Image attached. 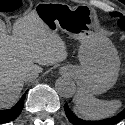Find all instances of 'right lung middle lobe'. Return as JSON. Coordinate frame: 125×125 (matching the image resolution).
<instances>
[{"mask_svg": "<svg viewBox=\"0 0 125 125\" xmlns=\"http://www.w3.org/2000/svg\"><path fill=\"white\" fill-rule=\"evenodd\" d=\"M22 0H0V11H13L21 6Z\"/></svg>", "mask_w": 125, "mask_h": 125, "instance_id": "right-lung-middle-lobe-1", "label": "right lung middle lobe"}]
</instances>
